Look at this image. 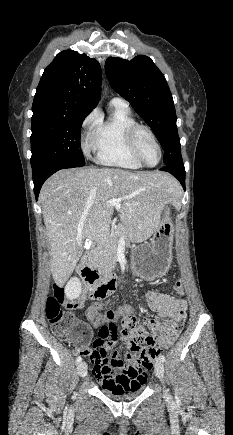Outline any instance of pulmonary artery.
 Masks as SVG:
<instances>
[{
	"instance_id": "pulmonary-artery-1",
	"label": "pulmonary artery",
	"mask_w": 233,
	"mask_h": 435,
	"mask_svg": "<svg viewBox=\"0 0 233 435\" xmlns=\"http://www.w3.org/2000/svg\"><path fill=\"white\" fill-rule=\"evenodd\" d=\"M111 103L122 107H128V102L125 99L119 97L113 98L111 100Z\"/></svg>"
}]
</instances>
